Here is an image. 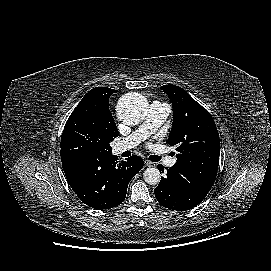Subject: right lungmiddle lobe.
I'll return each instance as SVG.
<instances>
[{"label": "right lung middle lobe", "mask_w": 271, "mask_h": 271, "mask_svg": "<svg viewBox=\"0 0 271 271\" xmlns=\"http://www.w3.org/2000/svg\"><path fill=\"white\" fill-rule=\"evenodd\" d=\"M116 90L93 88L69 116L62 136L61 152L110 154V142L118 137V130L109 111V98Z\"/></svg>", "instance_id": "dd1d6c3e"}]
</instances>
